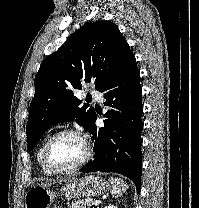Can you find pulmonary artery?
<instances>
[{"mask_svg":"<svg viewBox=\"0 0 199 208\" xmlns=\"http://www.w3.org/2000/svg\"><path fill=\"white\" fill-rule=\"evenodd\" d=\"M90 93L96 99L97 102L99 103L103 102V95L100 92H98L96 89H91Z\"/></svg>","mask_w":199,"mask_h":208,"instance_id":"pulmonary-artery-1","label":"pulmonary artery"}]
</instances>
